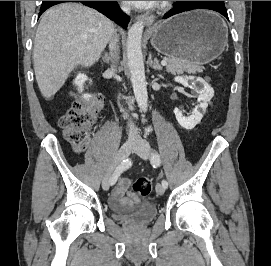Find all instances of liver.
<instances>
[{
  "label": "liver",
  "mask_w": 271,
  "mask_h": 266,
  "mask_svg": "<svg viewBox=\"0 0 271 266\" xmlns=\"http://www.w3.org/2000/svg\"><path fill=\"white\" fill-rule=\"evenodd\" d=\"M115 32L114 24L98 11L77 3L50 8L38 26L33 51L36 81L49 99L77 66L91 67Z\"/></svg>",
  "instance_id": "liver-1"
}]
</instances>
